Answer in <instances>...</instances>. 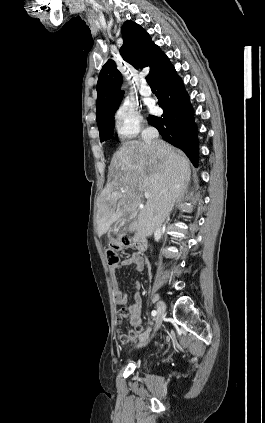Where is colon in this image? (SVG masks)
Masks as SVG:
<instances>
[{
    "mask_svg": "<svg viewBox=\"0 0 265 423\" xmlns=\"http://www.w3.org/2000/svg\"><path fill=\"white\" fill-rule=\"evenodd\" d=\"M131 245V240L126 234H116L110 238L109 246L105 251L108 264H117L120 260L119 251Z\"/></svg>",
    "mask_w": 265,
    "mask_h": 423,
    "instance_id": "colon-1",
    "label": "colon"
}]
</instances>
